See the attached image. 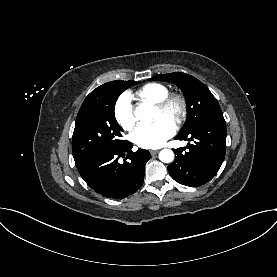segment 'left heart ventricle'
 <instances>
[{
    "instance_id": "b2bd125f",
    "label": "left heart ventricle",
    "mask_w": 277,
    "mask_h": 277,
    "mask_svg": "<svg viewBox=\"0 0 277 277\" xmlns=\"http://www.w3.org/2000/svg\"><path fill=\"white\" fill-rule=\"evenodd\" d=\"M161 117H165V118H168L170 120H172V117L169 116V115H163L158 109L156 110V119H159Z\"/></svg>"
}]
</instances>
